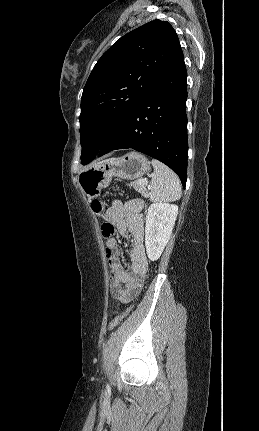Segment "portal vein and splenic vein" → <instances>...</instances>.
Here are the masks:
<instances>
[{
    "label": "portal vein and splenic vein",
    "mask_w": 259,
    "mask_h": 431,
    "mask_svg": "<svg viewBox=\"0 0 259 431\" xmlns=\"http://www.w3.org/2000/svg\"><path fill=\"white\" fill-rule=\"evenodd\" d=\"M139 182L142 183V184H144L146 182V180L140 179Z\"/></svg>",
    "instance_id": "portal-vein-and-splenic-vein-1"
}]
</instances>
